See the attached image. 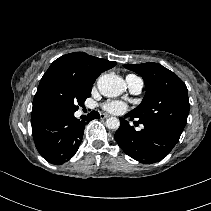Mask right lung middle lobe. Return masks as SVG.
<instances>
[{"label":"right lung middle lobe","instance_id":"1","mask_svg":"<svg viewBox=\"0 0 211 211\" xmlns=\"http://www.w3.org/2000/svg\"><path fill=\"white\" fill-rule=\"evenodd\" d=\"M91 89L72 80L55 81L43 95V111L47 117L72 114L91 96Z\"/></svg>","mask_w":211,"mask_h":211}]
</instances>
